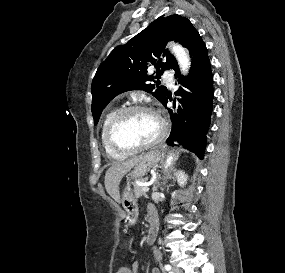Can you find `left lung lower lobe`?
Returning a JSON list of instances; mask_svg holds the SVG:
<instances>
[{
    "mask_svg": "<svg viewBox=\"0 0 285 273\" xmlns=\"http://www.w3.org/2000/svg\"><path fill=\"white\" fill-rule=\"evenodd\" d=\"M192 58L188 76H180L176 64L173 70L182 87L175 92L173 109L166 107L167 96L161 102L169 111L172 129L166 143L177 141L184 148L203 158L206 134L210 124L213 100V77L206 46L197 32L193 31L187 44Z\"/></svg>",
    "mask_w": 285,
    "mask_h": 273,
    "instance_id": "left-lung-lower-lobe-1",
    "label": "left lung lower lobe"
}]
</instances>
